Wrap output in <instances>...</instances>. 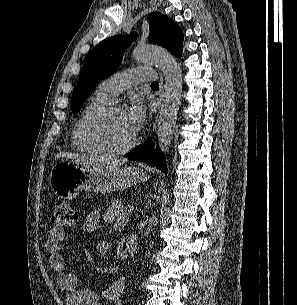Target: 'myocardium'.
I'll return each mask as SVG.
<instances>
[{
	"label": "myocardium",
	"mask_w": 297,
	"mask_h": 305,
	"mask_svg": "<svg viewBox=\"0 0 297 305\" xmlns=\"http://www.w3.org/2000/svg\"><path fill=\"white\" fill-rule=\"evenodd\" d=\"M116 111H122V109L114 104H109L102 108L92 112L82 123L81 132L84 140L98 152L106 155H120L131 150L137 143V136L135 135L126 145L118 148H111L106 146L98 137L95 128L97 124Z\"/></svg>",
	"instance_id": "myocardium-1"
}]
</instances>
